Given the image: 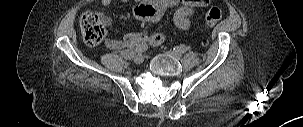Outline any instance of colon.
<instances>
[{
    "label": "colon",
    "mask_w": 303,
    "mask_h": 127,
    "mask_svg": "<svg viewBox=\"0 0 303 127\" xmlns=\"http://www.w3.org/2000/svg\"><path fill=\"white\" fill-rule=\"evenodd\" d=\"M144 15H152L149 8H146ZM221 15V10L218 7H212L205 15L204 26L212 28L220 21ZM79 25L83 39L88 45H98L105 38L104 26L96 13L84 12L80 16Z\"/></svg>",
    "instance_id": "1"
}]
</instances>
